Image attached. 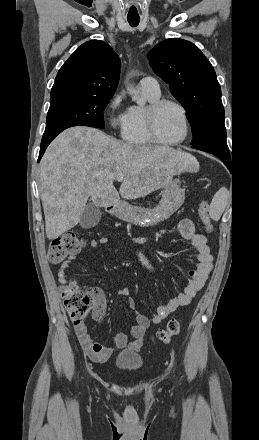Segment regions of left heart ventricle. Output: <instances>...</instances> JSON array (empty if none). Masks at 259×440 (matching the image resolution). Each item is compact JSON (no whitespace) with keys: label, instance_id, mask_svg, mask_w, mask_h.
I'll list each match as a JSON object with an SVG mask.
<instances>
[{"label":"left heart ventricle","instance_id":"b2bd125f","mask_svg":"<svg viewBox=\"0 0 259 440\" xmlns=\"http://www.w3.org/2000/svg\"><path fill=\"white\" fill-rule=\"evenodd\" d=\"M157 132L166 142L176 141L183 136V119L177 107L166 105L161 109L157 118Z\"/></svg>","mask_w":259,"mask_h":440}]
</instances>
